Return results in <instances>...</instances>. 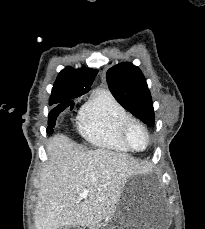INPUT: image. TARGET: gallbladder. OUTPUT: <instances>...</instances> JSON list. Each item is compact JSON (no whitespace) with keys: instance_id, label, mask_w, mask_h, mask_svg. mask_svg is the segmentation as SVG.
<instances>
[{"instance_id":"1","label":"gallbladder","mask_w":205,"mask_h":229,"mask_svg":"<svg viewBox=\"0 0 205 229\" xmlns=\"http://www.w3.org/2000/svg\"><path fill=\"white\" fill-rule=\"evenodd\" d=\"M58 229H69L68 227H59Z\"/></svg>"}]
</instances>
